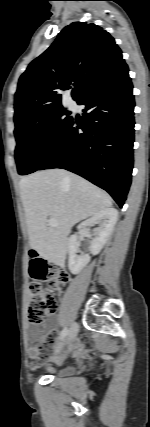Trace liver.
Listing matches in <instances>:
<instances>
[{
	"label": "liver",
	"instance_id": "6515ba94",
	"mask_svg": "<svg viewBox=\"0 0 150 427\" xmlns=\"http://www.w3.org/2000/svg\"><path fill=\"white\" fill-rule=\"evenodd\" d=\"M30 245L48 261L63 265L68 235L78 222L112 206L111 197L64 169L38 171L19 183ZM57 226L48 225V217Z\"/></svg>",
	"mask_w": 150,
	"mask_h": 427
}]
</instances>
